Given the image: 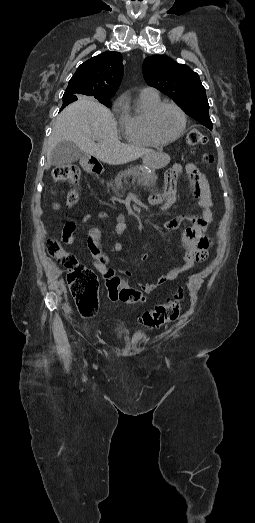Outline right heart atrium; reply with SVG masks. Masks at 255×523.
<instances>
[{
    "mask_svg": "<svg viewBox=\"0 0 255 523\" xmlns=\"http://www.w3.org/2000/svg\"><path fill=\"white\" fill-rule=\"evenodd\" d=\"M123 98H124V96H120L118 98V100L116 101L115 106H118L122 102Z\"/></svg>",
    "mask_w": 255,
    "mask_h": 523,
    "instance_id": "d8ad5b80",
    "label": "right heart atrium"
}]
</instances>
